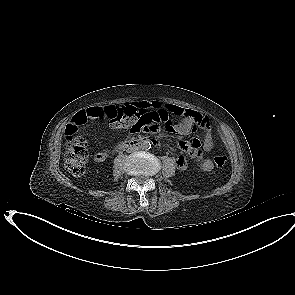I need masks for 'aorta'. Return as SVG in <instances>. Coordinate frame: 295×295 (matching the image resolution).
<instances>
[{
	"label": "aorta",
	"mask_w": 295,
	"mask_h": 295,
	"mask_svg": "<svg viewBox=\"0 0 295 295\" xmlns=\"http://www.w3.org/2000/svg\"><path fill=\"white\" fill-rule=\"evenodd\" d=\"M139 146L142 150H146V151L149 150L151 148L150 140L146 139L142 141Z\"/></svg>",
	"instance_id": "1"
}]
</instances>
